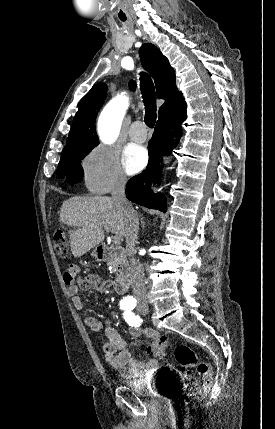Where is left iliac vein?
I'll return each mask as SVG.
<instances>
[{
    "label": "left iliac vein",
    "mask_w": 275,
    "mask_h": 429,
    "mask_svg": "<svg viewBox=\"0 0 275 429\" xmlns=\"http://www.w3.org/2000/svg\"><path fill=\"white\" fill-rule=\"evenodd\" d=\"M139 313L142 315H145L148 313V306L147 305H143L139 308Z\"/></svg>",
    "instance_id": "1"
}]
</instances>
